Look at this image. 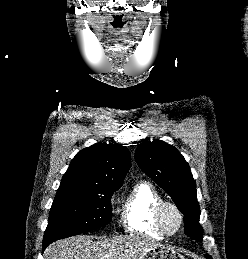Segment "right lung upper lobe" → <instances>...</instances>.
<instances>
[{"label": "right lung upper lobe", "mask_w": 248, "mask_h": 259, "mask_svg": "<svg viewBox=\"0 0 248 259\" xmlns=\"http://www.w3.org/2000/svg\"><path fill=\"white\" fill-rule=\"evenodd\" d=\"M130 166V152L125 146L96 143L77 153L60 187L120 188Z\"/></svg>", "instance_id": "right-lung-upper-lobe-1"}]
</instances>
